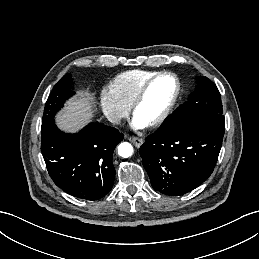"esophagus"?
<instances>
[{
  "instance_id": "1",
  "label": "esophagus",
  "mask_w": 259,
  "mask_h": 259,
  "mask_svg": "<svg viewBox=\"0 0 259 259\" xmlns=\"http://www.w3.org/2000/svg\"><path fill=\"white\" fill-rule=\"evenodd\" d=\"M128 140L131 141L132 143H134V145L139 148L142 144H143V139L138 138V137H128Z\"/></svg>"
}]
</instances>
